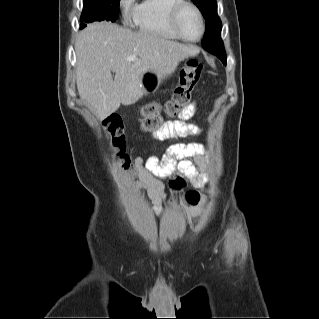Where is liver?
<instances>
[{
    "label": "liver",
    "instance_id": "obj_1",
    "mask_svg": "<svg viewBox=\"0 0 319 319\" xmlns=\"http://www.w3.org/2000/svg\"><path fill=\"white\" fill-rule=\"evenodd\" d=\"M75 52L79 96L103 120L120 104H133L143 96V72L153 70L161 79L168 77L180 61L197 55L198 49L156 34L94 22L78 34ZM129 56L136 59L127 61Z\"/></svg>",
    "mask_w": 319,
    "mask_h": 319
}]
</instances>
